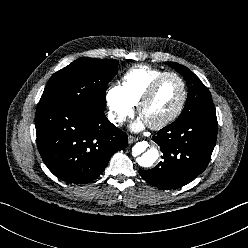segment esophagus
I'll return each mask as SVG.
<instances>
[{
  "label": "esophagus",
  "mask_w": 248,
  "mask_h": 248,
  "mask_svg": "<svg viewBox=\"0 0 248 248\" xmlns=\"http://www.w3.org/2000/svg\"><path fill=\"white\" fill-rule=\"evenodd\" d=\"M138 141V138L134 137V136H128V142L129 144H132L134 142Z\"/></svg>",
  "instance_id": "obj_1"
}]
</instances>
